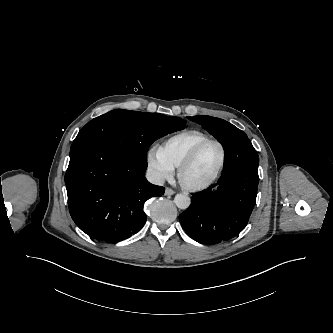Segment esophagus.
<instances>
[{
	"instance_id": "obj_1",
	"label": "esophagus",
	"mask_w": 333,
	"mask_h": 333,
	"mask_svg": "<svg viewBox=\"0 0 333 333\" xmlns=\"http://www.w3.org/2000/svg\"><path fill=\"white\" fill-rule=\"evenodd\" d=\"M174 193H175V191L172 190L171 188H166V189H165V195H166V196H171V195H173Z\"/></svg>"
}]
</instances>
